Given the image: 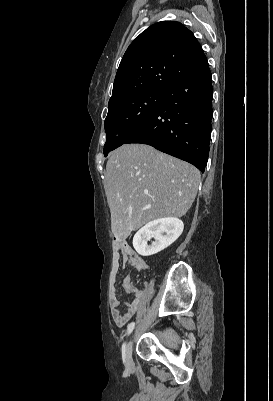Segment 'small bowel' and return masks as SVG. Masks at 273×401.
Segmentation results:
<instances>
[{
  "instance_id": "obj_1",
  "label": "small bowel",
  "mask_w": 273,
  "mask_h": 401,
  "mask_svg": "<svg viewBox=\"0 0 273 401\" xmlns=\"http://www.w3.org/2000/svg\"><path fill=\"white\" fill-rule=\"evenodd\" d=\"M143 261L134 254L133 249L126 243H120L116 246L112 255V264L109 276L110 294H111V311L112 319L116 326L124 327L137 314L145 299H150V290H138L134 279L130 276H125L123 286L127 287L128 294H131L133 300L126 304L124 310L121 309L123 301L117 293V278L121 267L127 264L139 269L138 264Z\"/></svg>"
}]
</instances>
